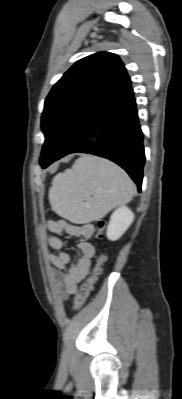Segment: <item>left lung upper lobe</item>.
<instances>
[{
    "mask_svg": "<svg viewBox=\"0 0 182 399\" xmlns=\"http://www.w3.org/2000/svg\"><path fill=\"white\" fill-rule=\"evenodd\" d=\"M130 83L125 66L116 54L98 52L77 61L45 100L41 166L55 160L88 118Z\"/></svg>",
    "mask_w": 182,
    "mask_h": 399,
    "instance_id": "left-lung-upper-lobe-1",
    "label": "left lung upper lobe"
}]
</instances>
